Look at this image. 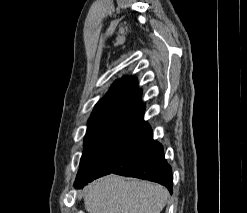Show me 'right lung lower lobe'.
Returning <instances> with one entry per match:
<instances>
[{"instance_id": "obj_1", "label": "right lung lower lobe", "mask_w": 247, "mask_h": 213, "mask_svg": "<svg viewBox=\"0 0 247 213\" xmlns=\"http://www.w3.org/2000/svg\"><path fill=\"white\" fill-rule=\"evenodd\" d=\"M144 111L141 103L132 108L116 142L98 162L99 173L94 179L115 173L154 181L172 192L171 167L162 145L153 140L151 127L143 120Z\"/></svg>"}]
</instances>
